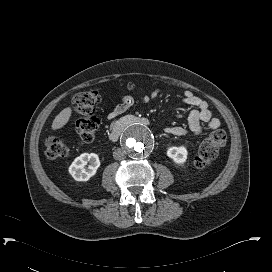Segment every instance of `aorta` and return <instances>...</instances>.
<instances>
[{
    "label": "aorta",
    "instance_id": "aorta-1",
    "mask_svg": "<svg viewBox=\"0 0 272 272\" xmlns=\"http://www.w3.org/2000/svg\"><path fill=\"white\" fill-rule=\"evenodd\" d=\"M122 145L130 157L140 159L151 153L155 145V139L149 128L142 125H133L124 132Z\"/></svg>",
    "mask_w": 272,
    "mask_h": 272
}]
</instances>
